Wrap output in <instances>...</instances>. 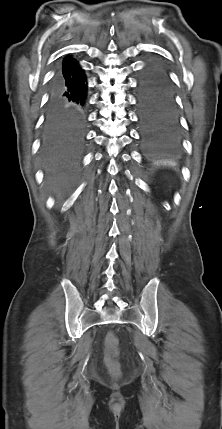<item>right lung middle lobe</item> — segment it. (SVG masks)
Instances as JSON below:
<instances>
[{"label": "right lung middle lobe", "instance_id": "obj_1", "mask_svg": "<svg viewBox=\"0 0 222 429\" xmlns=\"http://www.w3.org/2000/svg\"><path fill=\"white\" fill-rule=\"evenodd\" d=\"M65 138H66L65 134L45 124L44 140L47 145H56L62 140H64Z\"/></svg>", "mask_w": 222, "mask_h": 429}]
</instances>
